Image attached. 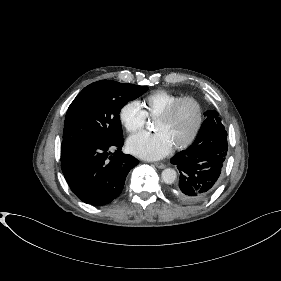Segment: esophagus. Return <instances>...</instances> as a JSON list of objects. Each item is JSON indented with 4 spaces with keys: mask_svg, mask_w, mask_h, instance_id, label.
<instances>
[{
    "mask_svg": "<svg viewBox=\"0 0 281 281\" xmlns=\"http://www.w3.org/2000/svg\"><path fill=\"white\" fill-rule=\"evenodd\" d=\"M154 165H155L157 168H160V169L165 168V164H163V163L157 162V163H154Z\"/></svg>",
    "mask_w": 281,
    "mask_h": 281,
    "instance_id": "obj_1",
    "label": "esophagus"
}]
</instances>
